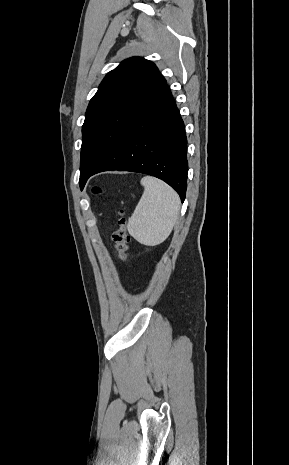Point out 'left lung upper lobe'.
<instances>
[{"label": "left lung upper lobe", "instance_id": "1", "mask_svg": "<svg viewBox=\"0 0 289 465\" xmlns=\"http://www.w3.org/2000/svg\"><path fill=\"white\" fill-rule=\"evenodd\" d=\"M165 84L156 65L141 57L122 61L105 76L88 105L82 126L81 188L89 173Z\"/></svg>", "mask_w": 289, "mask_h": 465}]
</instances>
